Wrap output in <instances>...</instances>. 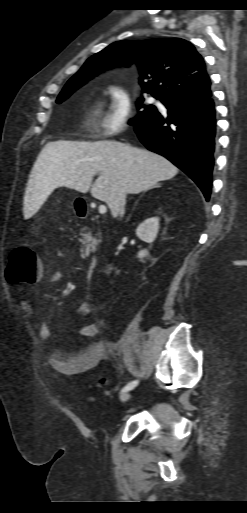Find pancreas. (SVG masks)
I'll use <instances>...</instances> for the list:
<instances>
[{
  "instance_id": "pancreas-1",
  "label": "pancreas",
  "mask_w": 247,
  "mask_h": 513,
  "mask_svg": "<svg viewBox=\"0 0 247 513\" xmlns=\"http://www.w3.org/2000/svg\"><path fill=\"white\" fill-rule=\"evenodd\" d=\"M99 234L100 233H97V235ZM80 235L83 237V240L81 241L83 244V248L81 249L82 256L87 257L90 252H94L96 250L99 240L92 236V232L89 230L88 226L81 228Z\"/></svg>"
}]
</instances>
